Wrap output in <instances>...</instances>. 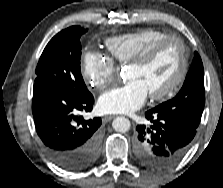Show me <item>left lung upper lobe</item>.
Wrapping results in <instances>:
<instances>
[{
    "mask_svg": "<svg viewBox=\"0 0 223 188\" xmlns=\"http://www.w3.org/2000/svg\"><path fill=\"white\" fill-rule=\"evenodd\" d=\"M204 104V69L199 54L195 52L192 65L179 93L153 110L168 119L196 129L201 120Z\"/></svg>",
    "mask_w": 223,
    "mask_h": 188,
    "instance_id": "left-lung-upper-lobe-1",
    "label": "left lung upper lobe"
}]
</instances>
